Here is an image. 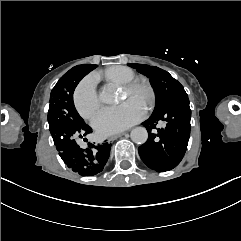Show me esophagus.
Returning <instances> with one entry per match:
<instances>
[{"mask_svg":"<svg viewBox=\"0 0 241 241\" xmlns=\"http://www.w3.org/2000/svg\"><path fill=\"white\" fill-rule=\"evenodd\" d=\"M123 135H124L123 133H119V134L110 136V137L108 138V140H109V141H114V140H116L117 138H119V137H121V136H123Z\"/></svg>","mask_w":241,"mask_h":241,"instance_id":"esophagus-1","label":"esophagus"}]
</instances>
